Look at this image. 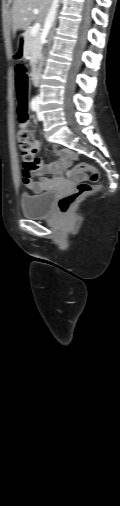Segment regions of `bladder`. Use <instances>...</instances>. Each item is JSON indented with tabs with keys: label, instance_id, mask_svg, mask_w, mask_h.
<instances>
[{
	"label": "bladder",
	"instance_id": "31cf9c89",
	"mask_svg": "<svg viewBox=\"0 0 120 506\" xmlns=\"http://www.w3.org/2000/svg\"><path fill=\"white\" fill-rule=\"evenodd\" d=\"M55 196V190H49L40 194H21L19 200L22 214L31 219L47 217L54 203Z\"/></svg>",
	"mask_w": 120,
	"mask_h": 506
}]
</instances>
